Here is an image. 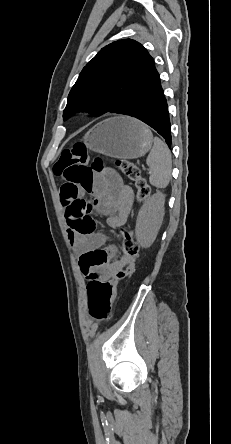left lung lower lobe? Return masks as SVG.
<instances>
[{
    "instance_id": "left-lung-lower-lobe-1",
    "label": "left lung lower lobe",
    "mask_w": 231,
    "mask_h": 444,
    "mask_svg": "<svg viewBox=\"0 0 231 444\" xmlns=\"http://www.w3.org/2000/svg\"><path fill=\"white\" fill-rule=\"evenodd\" d=\"M117 113L143 121L155 129L171 147L168 105L155 65Z\"/></svg>"
}]
</instances>
